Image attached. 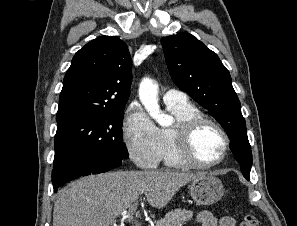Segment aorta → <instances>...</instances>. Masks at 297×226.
<instances>
[{
    "label": "aorta",
    "instance_id": "1",
    "mask_svg": "<svg viewBox=\"0 0 297 226\" xmlns=\"http://www.w3.org/2000/svg\"><path fill=\"white\" fill-rule=\"evenodd\" d=\"M139 99L148 114L159 124H164L166 116L158 104V86L149 78H144L139 85Z\"/></svg>",
    "mask_w": 297,
    "mask_h": 226
}]
</instances>
